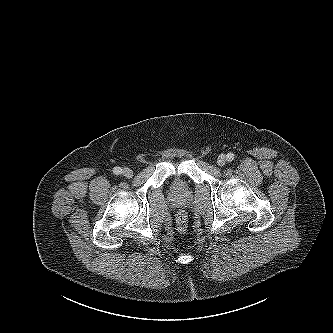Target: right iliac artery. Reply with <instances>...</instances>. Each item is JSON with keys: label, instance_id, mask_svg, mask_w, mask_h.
Wrapping results in <instances>:
<instances>
[{"label": "right iliac artery", "instance_id": "obj_1", "mask_svg": "<svg viewBox=\"0 0 333 333\" xmlns=\"http://www.w3.org/2000/svg\"><path fill=\"white\" fill-rule=\"evenodd\" d=\"M113 173L116 175H120V174H122V169L120 167H115L113 169Z\"/></svg>", "mask_w": 333, "mask_h": 333}]
</instances>
